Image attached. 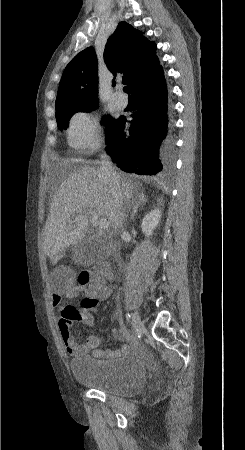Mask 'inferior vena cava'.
Segmentation results:
<instances>
[{
	"label": "inferior vena cava",
	"instance_id": "obj_1",
	"mask_svg": "<svg viewBox=\"0 0 245 450\" xmlns=\"http://www.w3.org/2000/svg\"><path fill=\"white\" fill-rule=\"evenodd\" d=\"M109 160L110 158L105 153L101 154V162L98 169L99 177L108 183L112 196L115 199V203L122 208L123 193L121 190L120 179L112 168Z\"/></svg>",
	"mask_w": 245,
	"mask_h": 450
}]
</instances>
